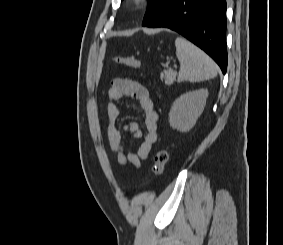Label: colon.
Instances as JSON below:
<instances>
[{"instance_id": "1", "label": "colon", "mask_w": 283, "mask_h": 245, "mask_svg": "<svg viewBox=\"0 0 283 245\" xmlns=\"http://www.w3.org/2000/svg\"><path fill=\"white\" fill-rule=\"evenodd\" d=\"M115 61L125 64L132 69L140 68V61L134 56H115ZM169 154L165 148L159 149L154 156L153 173L155 176H159L163 173L164 168L168 162Z\"/></svg>"}]
</instances>
